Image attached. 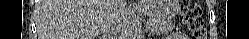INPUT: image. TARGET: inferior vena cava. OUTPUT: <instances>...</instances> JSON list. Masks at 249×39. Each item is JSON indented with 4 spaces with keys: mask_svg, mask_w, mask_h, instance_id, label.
<instances>
[{
    "mask_svg": "<svg viewBox=\"0 0 249 39\" xmlns=\"http://www.w3.org/2000/svg\"><path fill=\"white\" fill-rule=\"evenodd\" d=\"M122 0H114L115 6L118 5ZM120 23V16L116 13L115 10L106 18L103 23L102 31L105 33V36H111L117 32L118 25Z\"/></svg>",
    "mask_w": 249,
    "mask_h": 39,
    "instance_id": "obj_1",
    "label": "inferior vena cava"
}]
</instances>
